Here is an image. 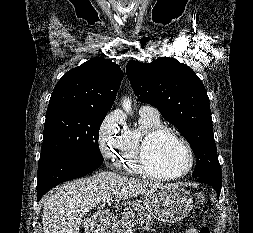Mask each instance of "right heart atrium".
I'll return each instance as SVG.
<instances>
[{
    "label": "right heart atrium",
    "instance_id": "right-heart-atrium-1",
    "mask_svg": "<svg viewBox=\"0 0 253 233\" xmlns=\"http://www.w3.org/2000/svg\"><path fill=\"white\" fill-rule=\"evenodd\" d=\"M126 131L124 120L119 111L108 113L102 120L98 135V147L105 159H114Z\"/></svg>",
    "mask_w": 253,
    "mask_h": 233
}]
</instances>
